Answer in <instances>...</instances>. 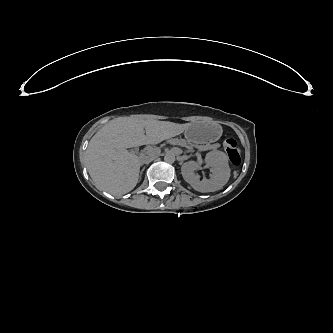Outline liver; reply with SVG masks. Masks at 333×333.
I'll list each match as a JSON object with an SVG mask.
<instances>
[{
  "label": "liver",
  "instance_id": "obj_1",
  "mask_svg": "<svg viewBox=\"0 0 333 333\" xmlns=\"http://www.w3.org/2000/svg\"><path fill=\"white\" fill-rule=\"evenodd\" d=\"M169 137L145 134L130 137H115L100 133L93 137L86 150L88 172L93 181L108 192H129L139 177L140 158L127 149L147 144H156Z\"/></svg>",
  "mask_w": 333,
  "mask_h": 333
}]
</instances>
